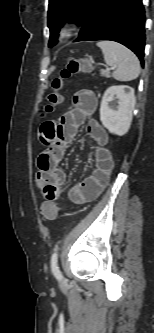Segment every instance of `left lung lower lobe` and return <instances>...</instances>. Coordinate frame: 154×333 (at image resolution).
<instances>
[{
	"mask_svg": "<svg viewBox=\"0 0 154 333\" xmlns=\"http://www.w3.org/2000/svg\"><path fill=\"white\" fill-rule=\"evenodd\" d=\"M145 11L142 0H96L75 41L111 40L132 50L144 64ZM49 40V46H50ZM51 47V46H50Z\"/></svg>",
	"mask_w": 154,
	"mask_h": 333,
	"instance_id": "obj_1",
	"label": "left lung lower lobe"
}]
</instances>
